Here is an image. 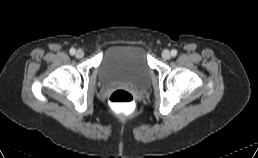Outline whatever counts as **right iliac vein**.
<instances>
[{
    "label": "right iliac vein",
    "instance_id": "right-iliac-vein-1",
    "mask_svg": "<svg viewBox=\"0 0 258 158\" xmlns=\"http://www.w3.org/2000/svg\"><path fill=\"white\" fill-rule=\"evenodd\" d=\"M84 56V51L82 49H78L76 52L77 58H82Z\"/></svg>",
    "mask_w": 258,
    "mask_h": 158
}]
</instances>
